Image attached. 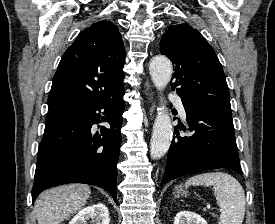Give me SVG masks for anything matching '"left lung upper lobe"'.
I'll use <instances>...</instances> for the list:
<instances>
[{
    "label": "left lung upper lobe",
    "instance_id": "obj_1",
    "mask_svg": "<svg viewBox=\"0 0 275 224\" xmlns=\"http://www.w3.org/2000/svg\"><path fill=\"white\" fill-rule=\"evenodd\" d=\"M160 51L173 63L171 87L182 100L232 115L222 66L211 45L196 29L187 23L170 26L161 39Z\"/></svg>",
    "mask_w": 275,
    "mask_h": 224
}]
</instances>
